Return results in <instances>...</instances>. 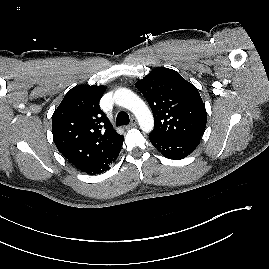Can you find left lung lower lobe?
<instances>
[{
    "label": "left lung lower lobe",
    "instance_id": "obj_1",
    "mask_svg": "<svg viewBox=\"0 0 269 269\" xmlns=\"http://www.w3.org/2000/svg\"><path fill=\"white\" fill-rule=\"evenodd\" d=\"M152 145L159 150L165 157L173 160L183 159L192 153L200 140L187 139V140H172L162 139L149 135Z\"/></svg>",
    "mask_w": 269,
    "mask_h": 269
}]
</instances>
